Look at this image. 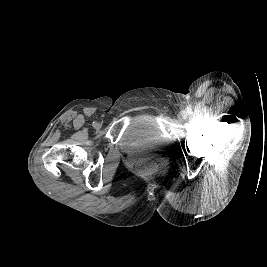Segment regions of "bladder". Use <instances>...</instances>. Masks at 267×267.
<instances>
[{"instance_id":"1","label":"bladder","mask_w":267,"mask_h":267,"mask_svg":"<svg viewBox=\"0 0 267 267\" xmlns=\"http://www.w3.org/2000/svg\"><path fill=\"white\" fill-rule=\"evenodd\" d=\"M164 144L159 127L149 117H137L123 131L119 148L122 152L156 151Z\"/></svg>"}]
</instances>
